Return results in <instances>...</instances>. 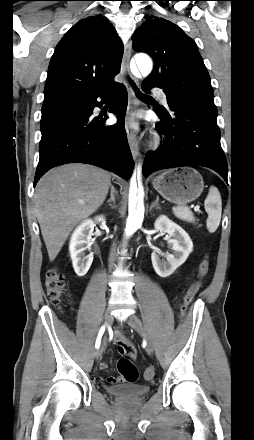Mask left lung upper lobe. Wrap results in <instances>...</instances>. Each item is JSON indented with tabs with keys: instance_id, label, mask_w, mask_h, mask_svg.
<instances>
[{
	"instance_id": "obj_1",
	"label": "left lung upper lobe",
	"mask_w": 254,
	"mask_h": 440,
	"mask_svg": "<svg viewBox=\"0 0 254 440\" xmlns=\"http://www.w3.org/2000/svg\"><path fill=\"white\" fill-rule=\"evenodd\" d=\"M132 40L135 51L149 54L154 61L143 83L162 88L168 103H191L217 113L210 76L197 45L180 27L164 18H148Z\"/></svg>"
}]
</instances>
